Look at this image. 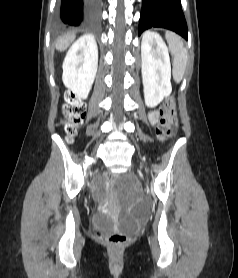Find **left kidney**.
<instances>
[{
    "instance_id": "obj_1",
    "label": "left kidney",
    "mask_w": 238,
    "mask_h": 278,
    "mask_svg": "<svg viewBox=\"0 0 238 278\" xmlns=\"http://www.w3.org/2000/svg\"><path fill=\"white\" fill-rule=\"evenodd\" d=\"M141 57L145 104L153 108L172 92L169 53L159 35H143Z\"/></svg>"
}]
</instances>
